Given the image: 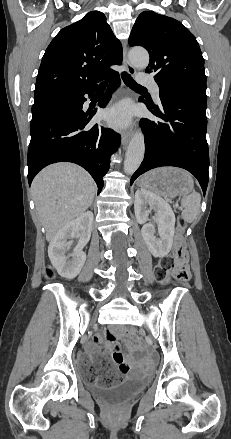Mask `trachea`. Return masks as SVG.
Returning a JSON list of instances; mask_svg holds the SVG:
<instances>
[{"instance_id":"trachea-1","label":"trachea","mask_w":231,"mask_h":439,"mask_svg":"<svg viewBox=\"0 0 231 439\" xmlns=\"http://www.w3.org/2000/svg\"><path fill=\"white\" fill-rule=\"evenodd\" d=\"M121 76H122V79H123L124 83H125L127 86H129L130 88H132V89H139V90H146L145 87H143V86L137 84V83L133 80V78L131 77V75L128 74L127 72H122ZM107 83H108V82H103V83H101V84H100V87H106V86H107Z\"/></svg>"}]
</instances>
